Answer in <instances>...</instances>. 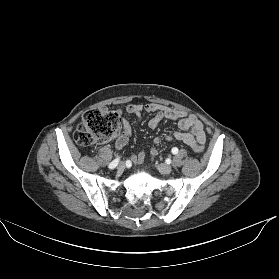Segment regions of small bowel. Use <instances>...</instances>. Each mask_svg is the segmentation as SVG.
<instances>
[{
    "label": "small bowel",
    "instance_id": "obj_1",
    "mask_svg": "<svg viewBox=\"0 0 279 279\" xmlns=\"http://www.w3.org/2000/svg\"><path fill=\"white\" fill-rule=\"evenodd\" d=\"M125 112L134 115L138 120H140L143 112L155 113V115L148 121V126L152 130L156 129L164 119L177 120L179 130L166 136V139L169 141L178 140L191 148L194 145H203L206 141L204 126L195 115H187L183 111L157 103L130 104L125 108ZM130 136L131 128L125 121L123 131L116 140L115 148L121 150L128 143ZM155 143H159L158 138H156ZM156 152L157 148L152 147L151 153L154 155ZM144 156V151L141 150L132 156V162L135 164H141L144 161Z\"/></svg>",
    "mask_w": 279,
    "mask_h": 279
}]
</instances>
